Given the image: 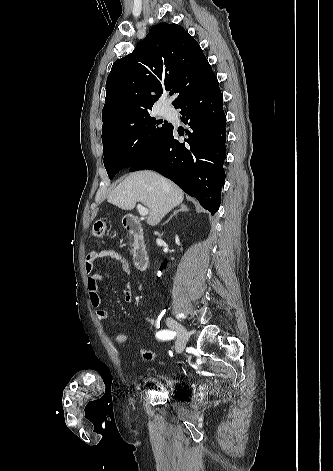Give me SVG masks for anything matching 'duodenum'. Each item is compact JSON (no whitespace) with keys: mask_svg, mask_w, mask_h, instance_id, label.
I'll use <instances>...</instances> for the list:
<instances>
[{"mask_svg":"<svg viewBox=\"0 0 333 471\" xmlns=\"http://www.w3.org/2000/svg\"><path fill=\"white\" fill-rule=\"evenodd\" d=\"M124 226L133 237V263L136 269L144 271L149 264V256L144 240V230L140 221L133 215L124 218Z\"/></svg>","mask_w":333,"mask_h":471,"instance_id":"410a0bca","label":"duodenum"}]
</instances>
